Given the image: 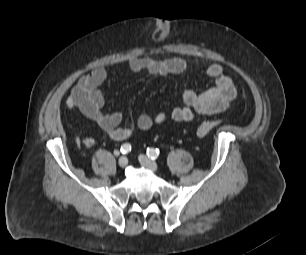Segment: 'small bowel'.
Wrapping results in <instances>:
<instances>
[{
  "instance_id": "1",
  "label": "small bowel",
  "mask_w": 306,
  "mask_h": 255,
  "mask_svg": "<svg viewBox=\"0 0 306 255\" xmlns=\"http://www.w3.org/2000/svg\"><path fill=\"white\" fill-rule=\"evenodd\" d=\"M131 71L147 72L159 78L168 75L184 73L187 62L182 58L172 57L166 59H154L152 57H137L129 60ZM207 75L214 79V86L197 93L193 89L183 92V104L175 107L171 117L177 122H190L198 114H216L226 110L235 100L237 90L232 78L224 73V68L219 63H213L207 68ZM107 71L100 66L91 72L81 76L71 94L67 98L66 105L71 111L79 110L88 120L103 131L109 138L122 141L129 138L136 129L149 130L154 125H160L167 119L163 111L151 115L147 112L139 113L136 118L130 120L126 126H120L123 121L121 111L107 112L104 109L105 100L99 89L105 81ZM83 143L86 147L95 144V138L88 136Z\"/></svg>"
}]
</instances>
